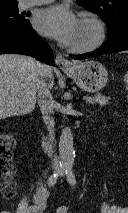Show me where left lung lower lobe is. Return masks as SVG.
I'll use <instances>...</instances> for the list:
<instances>
[{
  "label": "left lung lower lobe",
  "instance_id": "left-lung-lower-lobe-1",
  "mask_svg": "<svg viewBox=\"0 0 128 213\" xmlns=\"http://www.w3.org/2000/svg\"><path fill=\"white\" fill-rule=\"evenodd\" d=\"M123 50H128V25L114 33L108 34V40L106 43L97 50L82 55H71V57L73 59L81 60Z\"/></svg>",
  "mask_w": 128,
  "mask_h": 213
}]
</instances>
